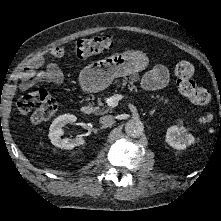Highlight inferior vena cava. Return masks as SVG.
Here are the masks:
<instances>
[{
	"mask_svg": "<svg viewBox=\"0 0 221 221\" xmlns=\"http://www.w3.org/2000/svg\"><path fill=\"white\" fill-rule=\"evenodd\" d=\"M99 121L101 124H109L113 121V116L111 115L102 116L100 117Z\"/></svg>",
	"mask_w": 221,
	"mask_h": 221,
	"instance_id": "obj_1",
	"label": "inferior vena cava"
}]
</instances>
